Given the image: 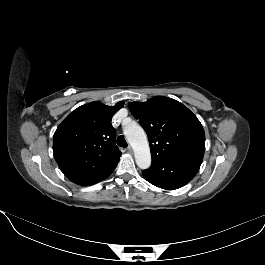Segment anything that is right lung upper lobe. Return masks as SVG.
<instances>
[{"instance_id":"obj_1","label":"right lung upper lobe","mask_w":265,"mask_h":265,"mask_svg":"<svg viewBox=\"0 0 265 265\" xmlns=\"http://www.w3.org/2000/svg\"><path fill=\"white\" fill-rule=\"evenodd\" d=\"M124 102L107 106L91 102L78 107L57 127L53 153L61 171L109 170L117 166L121 152L115 144L111 118Z\"/></svg>"}]
</instances>
